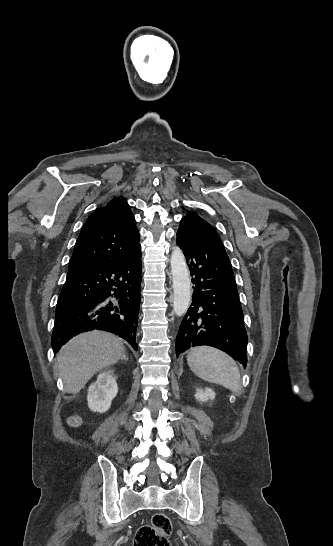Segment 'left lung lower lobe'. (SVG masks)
Masks as SVG:
<instances>
[{
  "mask_svg": "<svg viewBox=\"0 0 333 546\" xmlns=\"http://www.w3.org/2000/svg\"><path fill=\"white\" fill-rule=\"evenodd\" d=\"M176 242L186 257L192 283V304L176 337V354L208 345L247 362L244 315L229 257L223 245L209 240L183 221Z\"/></svg>",
  "mask_w": 333,
  "mask_h": 546,
  "instance_id": "left-lung-lower-lobe-1",
  "label": "left lung lower lobe"
}]
</instances>
